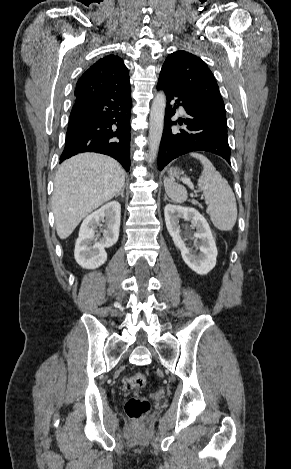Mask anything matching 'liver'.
Masks as SVG:
<instances>
[{"mask_svg":"<svg viewBox=\"0 0 291 469\" xmlns=\"http://www.w3.org/2000/svg\"><path fill=\"white\" fill-rule=\"evenodd\" d=\"M121 165L105 155L78 154L61 164L54 181L52 210L57 234L66 239L80 221L124 186Z\"/></svg>","mask_w":291,"mask_h":469,"instance_id":"1","label":"liver"}]
</instances>
